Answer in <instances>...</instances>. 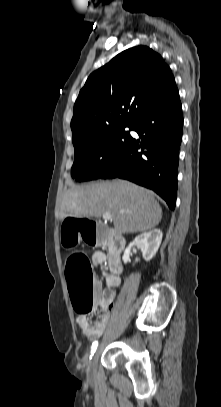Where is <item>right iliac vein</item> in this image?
I'll return each instance as SVG.
<instances>
[{
	"instance_id": "63e3f726",
	"label": "right iliac vein",
	"mask_w": 221,
	"mask_h": 407,
	"mask_svg": "<svg viewBox=\"0 0 221 407\" xmlns=\"http://www.w3.org/2000/svg\"><path fill=\"white\" fill-rule=\"evenodd\" d=\"M99 349L95 352V355L93 356V358L91 359V361L88 364L87 367V373L89 376H92L96 370V366H97V361H98V357H99Z\"/></svg>"
}]
</instances>
